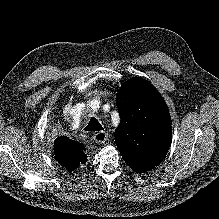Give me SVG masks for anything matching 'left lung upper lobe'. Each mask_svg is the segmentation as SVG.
Listing matches in <instances>:
<instances>
[{
  "label": "left lung upper lobe",
  "mask_w": 219,
  "mask_h": 219,
  "mask_svg": "<svg viewBox=\"0 0 219 219\" xmlns=\"http://www.w3.org/2000/svg\"><path fill=\"white\" fill-rule=\"evenodd\" d=\"M116 101L120 115L116 145L132 170L147 172L161 163L170 146L168 107L156 88L141 78L123 84Z\"/></svg>",
  "instance_id": "obj_1"
}]
</instances>
